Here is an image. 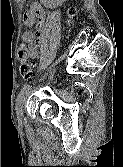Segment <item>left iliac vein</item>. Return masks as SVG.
<instances>
[{
  "label": "left iliac vein",
  "mask_w": 123,
  "mask_h": 167,
  "mask_svg": "<svg viewBox=\"0 0 123 167\" xmlns=\"http://www.w3.org/2000/svg\"><path fill=\"white\" fill-rule=\"evenodd\" d=\"M25 101H26V97L23 96L16 103V113L20 121L22 120V117H23V106L25 104Z\"/></svg>",
  "instance_id": "4c4485c4"
}]
</instances>
